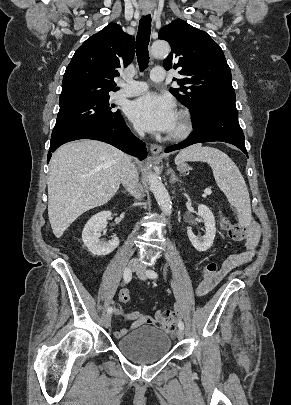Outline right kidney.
Here are the masks:
<instances>
[{
	"label": "right kidney",
	"instance_id": "ca27d5eb",
	"mask_svg": "<svg viewBox=\"0 0 291 405\" xmlns=\"http://www.w3.org/2000/svg\"><path fill=\"white\" fill-rule=\"evenodd\" d=\"M111 214L110 211H102L95 214L88 220L83 229L82 240L93 255H108L119 245L118 237H114L109 242H102L99 239L101 236L100 232L106 227L107 219Z\"/></svg>",
	"mask_w": 291,
	"mask_h": 405
}]
</instances>
